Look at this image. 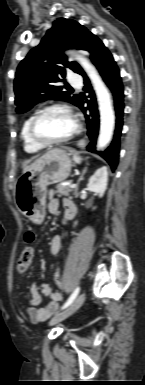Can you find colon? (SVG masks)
<instances>
[{"mask_svg": "<svg viewBox=\"0 0 145 385\" xmlns=\"http://www.w3.org/2000/svg\"><path fill=\"white\" fill-rule=\"evenodd\" d=\"M34 239L35 234L32 231L26 233L25 241L28 245L23 248L17 260V270L19 273H25L33 261L34 248L30 244L34 241Z\"/></svg>", "mask_w": 145, "mask_h": 385, "instance_id": "1", "label": "colon"}]
</instances>
